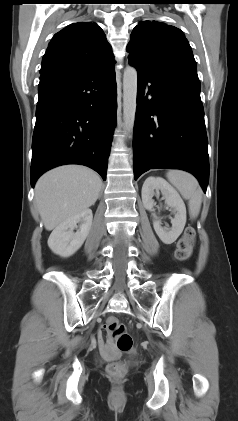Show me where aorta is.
<instances>
[{"instance_id": "1", "label": "aorta", "mask_w": 238, "mask_h": 421, "mask_svg": "<svg viewBox=\"0 0 238 421\" xmlns=\"http://www.w3.org/2000/svg\"><path fill=\"white\" fill-rule=\"evenodd\" d=\"M137 70L128 66L123 75V118L127 134L133 131L137 106Z\"/></svg>"}]
</instances>
